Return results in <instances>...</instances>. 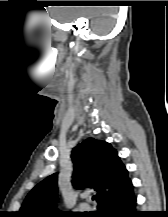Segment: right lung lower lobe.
Listing matches in <instances>:
<instances>
[{
	"mask_svg": "<svg viewBox=\"0 0 168 217\" xmlns=\"http://www.w3.org/2000/svg\"><path fill=\"white\" fill-rule=\"evenodd\" d=\"M96 217H142L143 215L136 211V196L133 192V186L123 194L109 200L101 205Z\"/></svg>",
	"mask_w": 168,
	"mask_h": 217,
	"instance_id": "right-lung-lower-lobe-1",
	"label": "right lung lower lobe"
}]
</instances>
